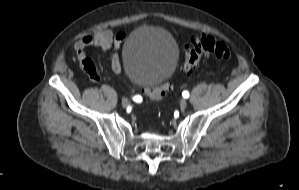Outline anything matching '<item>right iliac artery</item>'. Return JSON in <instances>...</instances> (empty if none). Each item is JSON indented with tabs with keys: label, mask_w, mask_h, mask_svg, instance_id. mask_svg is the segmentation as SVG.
Here are the masks:
<instances>
[{
	"label": "right iliac artery",
	"mask_w": 299,
	"mask_h": 190,
	"mask_svg": "<svg viewBox=\"0 0 299 190\" xmlns=\"http://www.w3.org/2000/svg\"><path fill=\"white\" fill-rule=\"evenodd\" d=\"M133 100L136 101V102H139V101L142 100V97L139 96V95H136V96L133 97Z\"/></svg>",
	"instance_id": "1"
}]
</instances>
